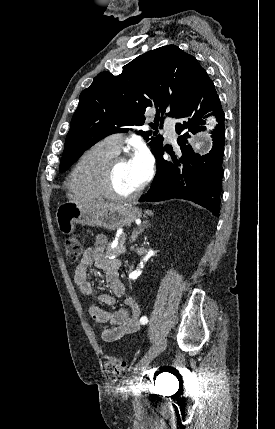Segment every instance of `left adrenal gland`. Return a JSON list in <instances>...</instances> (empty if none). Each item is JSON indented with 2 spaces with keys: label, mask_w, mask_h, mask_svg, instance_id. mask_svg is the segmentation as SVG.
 I'll return each mask as SVG.
<instances>
[{
  "label": "left adrenal gland",
  "mask_w": 275,
  "mask_h": 429,
  "mask_svg": "<svg viewBox=\"0 0 275 429\" xmlns=\"http://www.w3.org/2000/svg\"><path fill=\"white\" fill-rule=\"evenodd\" d=\"M150 224L147 220L143 221V223L138 227V229L133 230L131 237L129 239V243L135 242L138 235L144 231L145 228H147Z\"/></svg>",
  "instance_id": "left-adrenal-gland-1"
}]
</instances>
